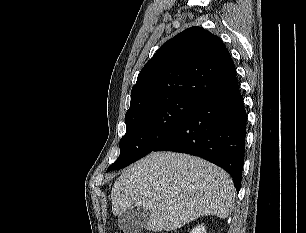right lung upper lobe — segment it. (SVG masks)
Segmentation results:
<instances>
[{
  "label": "right lung upper lobe",
  "instance_id": "obj_1",
  "mask_svg": "<svg viewBox=\"0 0 306 233\" xmlns=\"http://www.w3.org/2000/svg\"><path fill=\"white\" fill-rule=\"evenodd\" d=\"M237 84L235 65L222 40L191 27L164 43L143 67L127 112L176 97L202 104Z\"/></svg>",
  "mask_w": 306,
  "mask_h": 233
}]
</instances>
